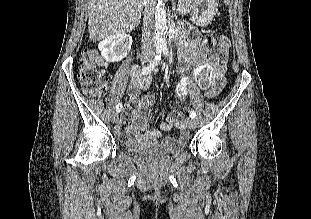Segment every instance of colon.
Listing matches in <instances>:
<instances>
[{"instance_id":"obj_1","label":"colon","mask_w":311,"mask_h":219,"mask_svg":"<svg viewBox=\"0 0 311 219\" xmlns=\"http://www.w3.org/2000/svg\"><path fill=\"white\" fill-rule=\"evenodd\" d=\"M229 48L230 42L225 35L204 38L201 52L210 64L205 65L198 75V82L201 87L208 86L215 73L223 75ZM79 80L85 94L90 97H96L105 92L107 86L106 71L97 49L88 48L83 51L80 59Z\"/></svg>"}]
</instances>
